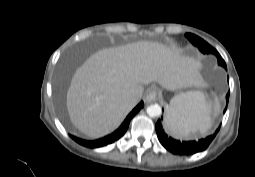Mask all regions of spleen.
Wrapping results in <instances>:
<instances>
[{"label":"spleen","instance_id":"obj_1","mask_svg":"<svg viewBox=\"0 0 255 177\" xmlns=\"http://www.w3.org/2000/svg\"><path fill=\"white\" fill-rule=\"evenodd\" d=\"M168 131L179 138H188L191 133H205L212 125L211 106L201 92H187L175 96L165 121Z\"/></svg>","mask_w":255,"mask_h":177}]
</instances>
